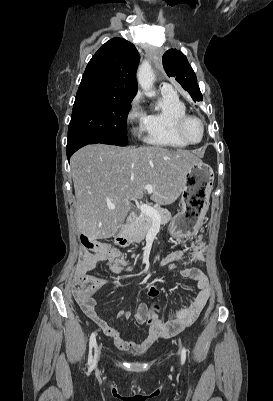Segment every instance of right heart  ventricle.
I'll return each instance as SVG.
<instances>
[{"mask_svg":"<svg viewBox=\"0 0 273 401\" xmlns=\"http://www.w3.org/2000/svg\"><path fill=\"white\" fill-rule=\"evenodd\" d=\"M146 142L174 148H185L175 133V123L188 114L186 103L176 93H162L150 110L144 111Z\"/></svg>","mask_w":273,"mask_h":401,"instance_id":"right-heart-ventricle-1","label":"right heart ventricle"}]
</instances>
